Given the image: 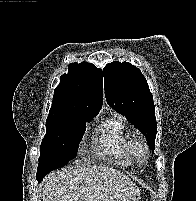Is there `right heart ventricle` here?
I'll return each instance as SVG.
<instances>
[{
	"mask_svg": "<svg viewBox=\"0 0 196 201\" xmlns=\"http://www.w3.org/2000/svg\"><path fill=\"white\" fill-rule=\"evenodd\" d=\"M97 132L102 155L115 159L121 165L131 162L134 140L121 117L102 123Z\"/></svg>",
	"mask_w": 196,
	"mask_h": 201,
	"instance_id": "1",
	"label": "right heart ventricle"
}]
</instances>
